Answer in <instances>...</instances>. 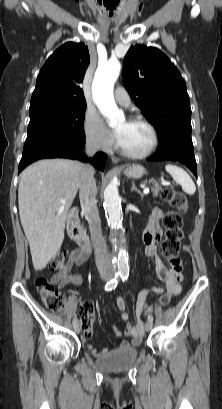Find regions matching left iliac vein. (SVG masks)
<instances>
[{"instance_id":"1","label":"left iliac vein","mask_w":222,"mask_h":409,"mask_svg":"<svg viewBox=\"0 0 222 409\" xmlns=\"http://www.w3.org/2000/svg\"><path fill=\"white\" fill-rule=\"evenodd\" d=\"M152 328H153V322L148 320L145 324V329L146 331H150Z\"/></svg>"}]
</instances>
